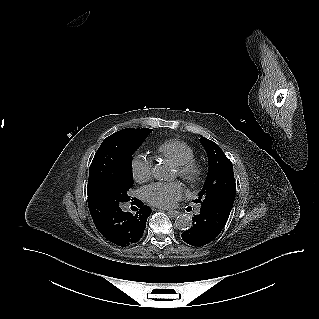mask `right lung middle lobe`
I'll return each mask as SVG.
<instances>
[{"label":"right lung middle lobe","instance_id":"obj_1","mask_svg":"<svg viewBox=\"0 0 319 319\" xmlns=\"http://www.w3.org/2000/svg\"><path fill=\"white\" fill-rule=\"evenodd\" d=\"M152 129L126 128L107 137L98 148L89 168L87 194L104 192L124 199L133 186L132 154Z\"/></svg>","mask_w":319,"mask_h":319}]
</instances>
